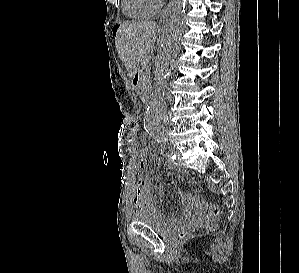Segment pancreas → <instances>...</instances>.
<instances>
[{
  "label": "pancreas",
  "instance_id": "1",
  "mask_svg": "<svg viewBox=\"0 0 299 273\" xmlns=\"http://www.w3.org/2000/svg\"><path fill=\"white\" fill-rule=\"evenodd\" d=\"M140 75L142 82L147 85L150 81V66L147 60L141 62Z\"/></svg>",
  "mask_w": 299,
  "mask_h": 273
}]
</instances>
